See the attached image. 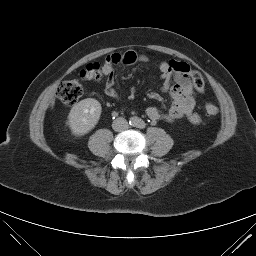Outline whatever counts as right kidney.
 I'll use <instances>...</instances> for the list:
<instances>
[{
	"mask_svg": "<svg viewBox=\"0 0 256 256\" xmlns=\"http://www.w3.org/2000/svg\"><path fill=\"white\" fill-rule=\"evenodd\" d=\"M101 111V104L93 98L75 104L68 115V125L72 133L82 136L90 132L98 123Z\"/></svg>",
	"mask_w": 256,
	"mask_h": 256,
	"instance_id": "obj_1",
	"label": "right kidney"
}]
</instances>
